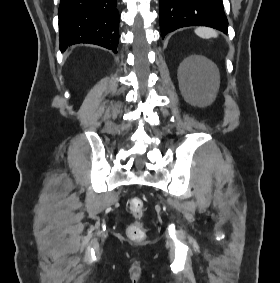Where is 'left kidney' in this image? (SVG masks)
Segmentation results:
<instances>
[{
  "instance_id": "obj_1",
  "label": "left kidney",
  "mask_w": 280,
  "mask_h": 283,
  "mask_svg": "<svg viewBox=\"0 0 280 283\" xmlns=\"http://www.w3.org/2000/svg\"><path fill=\"white\" fill-rule=\"evenodd\" d=\"M199 60H202V61L206 62V60L203 57H191V58L185 60V64H187V65H194Z\"/></svg>"
}]
</instances>
